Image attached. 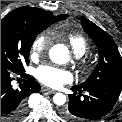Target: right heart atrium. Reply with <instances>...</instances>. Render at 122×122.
<instances>
[{
  "instance_id": "1",
  "label": "right heart atrium",
  "mask_w": 122,
  "mask_h": 122,
  "mask_svg": "<svg viewBox=\"0 0 122 122\" xmlns=\"http://www.w3.org/2000/svg\"><path fill=\"white\" fill-rule=\"evenodd\" d=\"M50 44L51 36L48 32H43L40 35H38L32 44V57L36 59L39 58L48 50Z\"/></svg>"
}]
</instances>
